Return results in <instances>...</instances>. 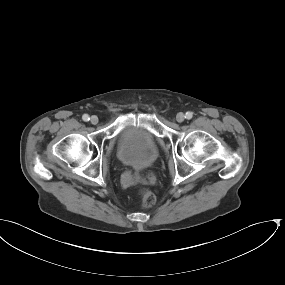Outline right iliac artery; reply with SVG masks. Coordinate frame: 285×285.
Listing matches in <instances>:
<instances>
[{"mask_svg":"<svg viewBox=\"0 0 285 285\" xmlns=\"http://www.w3.org/2000/svg\"><path fill=\"white\" fill-rule=\"evenodd\" d=\"M82 119H83L85 122H87V121H89V120H90V118H89V115H88V114H84V115L82 116Z\"/></svg>","mask_w":285,"mask_h":285,"instance_id":"right-iliac-artery-1","label":"right iliac artery"}]
</instances>
